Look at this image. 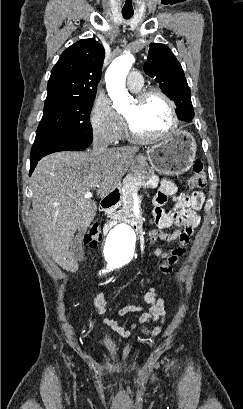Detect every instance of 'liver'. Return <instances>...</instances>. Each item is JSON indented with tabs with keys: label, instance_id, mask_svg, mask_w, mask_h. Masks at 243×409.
<instances>
[{
	"label": "liver",
	"instance_id": "1",
	"mask_svg": "<svg viewBox=\"0 0 243 409\" xmlns=\"http://www.w3.org/2000/svg\"><path fill=\"white\" fill-rule=\"evenodd\" d=\"M138 151L136 146L101 154L63 151L37 164L31 177L32 207L42 244L63 269L77 270L72 241L77 230L86 232L96 215L95 201L85 194L96 191L106 196L120 184Z\"/></svg>",
	"mask_w": 243,
	"mask_h": 409
}]
</instances>
